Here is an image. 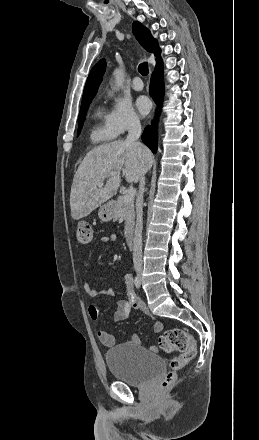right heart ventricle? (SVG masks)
Returning <instances> with one entry per match:
<instances>
[{
    "instance_id": "e07e8e85",
    "label": "right heart ventricle",
    "mask_w": 259,
    "mask_h": 440,
    "mask_svg": "<svg viewBox=\"0 0 259 440\" xmlns=\"http://www.w3.org/2000/svg\"><path fill=\"white\" fill-rule=\"evenodd\" d=\"M93 124L90 130V139L93 143L107 142L114 138V134L107 124V114L98 108L93 114Z\"/></svg>"
}]
</instances>
